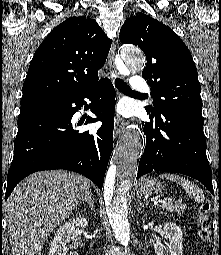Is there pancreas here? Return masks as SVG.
Returning <instances> with one entry per match:
<instances>
[{"mask_svg":"<svg viewBox=\"0 0 221 255\" xmlns=\"http://www.w3.org/2000/svg\"><path fill=\"white\" fill-rule=\"evenodd\" d=\"M163 209L170 211V212H175L177 214H182L186 208L185 205H179L178 203H173L171 201L165 200L164 203L161 204Z\"/></svg>","mask_w":221,"mask_h":255,"instance_id":"pancreas-1","label":"pancreas"}]
</instances>
